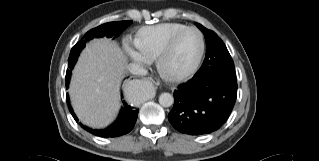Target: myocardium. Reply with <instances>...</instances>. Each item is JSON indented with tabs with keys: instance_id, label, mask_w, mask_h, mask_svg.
<instances>
[{
	"instance_id": "1",
	"label": "myocardium",
	"mask_w": 319,
	"mask_h": 161,
	"mask_svg": "<svg viewBox=\"0 0 319 161\" xmlns=\"http://www.w3.org/2000/svg\"><path fill=\"white\" fill-rule=\"evenodd\" d=\"M188 31H195L199 35L200 48H199V53L197 55V58H196L195 62L192 64V66L190 68H188L187 70L182 71V72H177V73L170 72L165 67V61H166L168 55L170 54V52L172 51L175 43L180 38V36H182L184 33L188 32ZM204 52H205L204 36H203V33L198 28L186 27L182 30H179L168 39V41L166 42L162 51L158 55L157 60H156L157 73L159 74L160 77H162L163 79H165L167 81H171V82L182 81V80L190 77L191 75H193L198 70V68L202 62Z\"/></svg>"
}]
</instances>
